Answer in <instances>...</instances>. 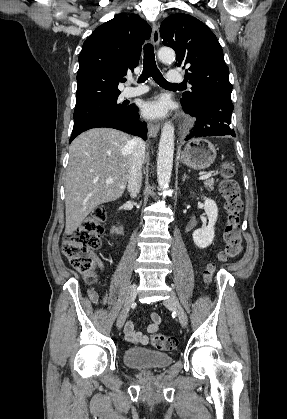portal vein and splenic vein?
Segmentation results:
<instances>
[{
  "mask_svg": "<svg viewBox=\"0 0 287 419\" xmlns=\"http://www.w3.org/2000/svg\"><path fill=\"white\" fill-rule=\"evenodd\" d=\"M211 173H208V174H204V175H202V176H200L199 177V180H206V179H208V178H210L211 177ZM113 181V179H111V178H109L108 180H107V182L108 183H110V182H112Z\"/></svg>",
  "mask_w": 287,
  "mask_h": 419,
  "instance_id": "portal-vein-and-splenic-vein-1",
  "label": "portal vein and splenic vein"
}]
</instances>
